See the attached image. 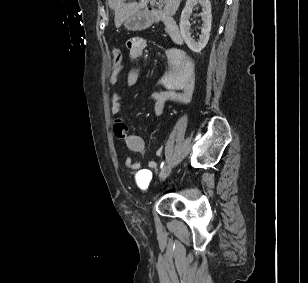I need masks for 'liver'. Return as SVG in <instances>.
Returning <instances> with one entry per match:
<instances>
[{
  "instance_id": "1",
  "label": "liver",
  "mask_w": 308,
  "mask_h": 283,
  "mask_svg": "<svg viewBox=\"0 0 308 283\" xmlns=\"http://www.w3.org/2000/svg\"><path fill=\"white\" fill-rule=\"evenodd\" d=\"M150 0H140L139 3H125V0H108L109 7L115 11V26L119 28L122 23L130 16L146 9ZM182 0H163L165 3L164 12L174 15L178 10Z\"/></svg>"
}]
</instances>
